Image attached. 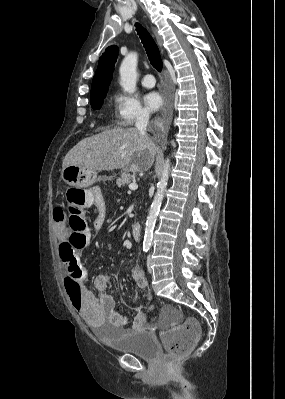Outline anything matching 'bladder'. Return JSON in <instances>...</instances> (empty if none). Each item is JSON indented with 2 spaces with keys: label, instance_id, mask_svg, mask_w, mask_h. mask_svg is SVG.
<instances>
[{
  "label": "bladder",
  "instance_id": "obj_1",
  "mask_svg": "<svg viewBox=\"0 0 285 399\" xmlns=\"http://www.w3.org/2000/svg\"><path fill=\"white\" fill-rule=\"evenodd\" d=\"M90 327L99 336L105 335L100 323H91ZM105 343L119 352L131 354L145 360H154L159 355V343L156 337L141 330H131L128 335L106 338Z\"/></svg>",
  "mask_w": 285,
  "mask_h": 399
}]
</instances>
